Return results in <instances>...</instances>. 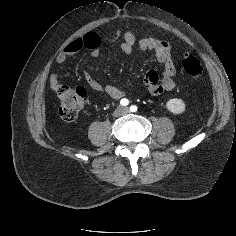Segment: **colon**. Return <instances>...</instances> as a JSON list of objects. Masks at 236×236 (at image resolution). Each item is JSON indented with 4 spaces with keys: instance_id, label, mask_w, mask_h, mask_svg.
I'll return each mask as SVG.
<instances>
[{
    "instance_id": "colon-1",
    "label": "colon",
    "mask_w": 236,
    "mask_h": 236,
    "mask_svg": "<svg viewBox=\"0 0 236 236\" xmlns=\"http://www.w3.org/2000/svg\"><path fill=\"white\" fill-rule=\"evenodd\" d=\"M182 70L190 78L198 79L203 73L200 60L194 56H186L182 60ZM59 115L65 121H72L81 112L85 102V92L81 89L61 86L57 90Z\"/></svg>"
}]
</instances>
